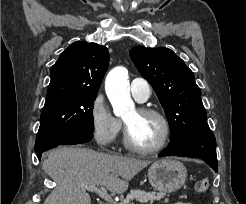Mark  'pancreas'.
I'll return each mask as SVG.
<instances>
[{
    "mask_svg": "<svg viewBox=\"0 0 246 204\" xmlns=\"http://www.w3.org/2000/svg\"><path fill=\"white\" fill-rule=\"evenodd\" d=\"M165 192H145L141 190H132L120 204H134L132 201L136 200L140 203H153L154 201H160L165 197Z\"/></svg>",
    "mask_w": 246,
    "mask_h": 204,
    "instance_id": "cf45deb5",
    "label": "pancreas"
}]
</instances>
